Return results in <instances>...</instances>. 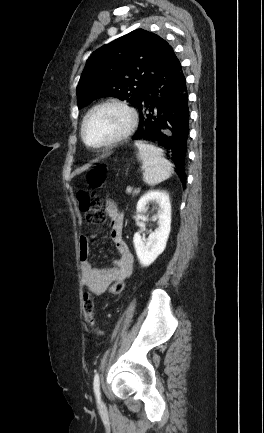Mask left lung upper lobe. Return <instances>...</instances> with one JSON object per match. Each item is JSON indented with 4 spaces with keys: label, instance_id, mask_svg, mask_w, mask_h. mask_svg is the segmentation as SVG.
I'll return each instance as SVG.
<instances>
[{
    "label": "left lung upper lobe",
    "instance_id": "obj_1",
    "mask_svg": "<svg viewBox=\"0 0 264 433\" xmlns=\"http://www.w3.org/2000/svg\"><path fill=\"white\" fill-rule=\"evenodd\" d=\"M172 51L163 38L143 29L104 45L87 60L77 86L78 107L106 96L136 105Z\"/></svg>",
    "mask_w": 264,
    "mask_h": 433
}]
</instances>
